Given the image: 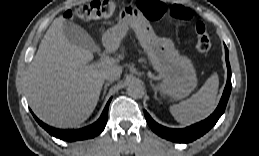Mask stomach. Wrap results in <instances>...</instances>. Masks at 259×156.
I'll return each mask as SVG.
<instances>
[{
    "mask_svg": "<svg viewBox=\"0 0 259 156\" xmlns=\"http://www.w3.org/2000/svg\"><path fill=\"white\" fill-rule=\"evenodd\" d=\"M135 30L151 64L162 79L159 90L163 96L182 99L197 86L196 71L191 60L180 56L172 40L155 35L148 21L134 6L120 12L119 22L108 31L109 39L120 42L128 28Z\"/></svg>",
    "mask_w": 259,
    "mask_h": 156,
    "instance_id": "0dacf381",
    "label": "stomach"
}]
</instances>
